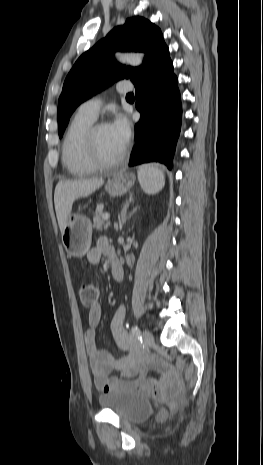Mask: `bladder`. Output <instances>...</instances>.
Here are the masks:
<instances>
[{
  "instance_id": "obj_1",
  "label": "bladder",
  "mask_w": 263,
  "mask_h": 465,
  "mask_svg": "<svg viewBox=\"0 0 263 465\" xmlns=\"http://www.w3.org/2000/svg\"><path fill=\"white\" fill-rule=\"evenodd\" d=\"M99 404L120 419L133 423L144 421L153 411L152 403L146 396L125 389L101 394Z\"/></svg>"
}]
</instances>
